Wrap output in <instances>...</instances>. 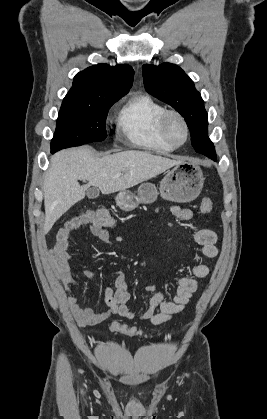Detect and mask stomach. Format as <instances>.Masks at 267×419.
<instances>
[{
    "label": "stomach",
    "mask_w": 267,
    "mask_h": 419,
    "mask_svg": "<svg viewBox=\"0 0 267 419\" xmlns=\"http://www.w3.org/2000/svg\"><path fill=\"white\" fill-rule=\"evenodd\" d=\"M204 180L199 164L194 161H182L162 179L159 192L154 184L142 183L137 195L128 190L120 191L116 196V203L121 210L132 211L141 203H153L159 194L168 201L190 202L200 194Z\"/></svg>",
    "instance_id": "stomach-1"
}]
</instances>
